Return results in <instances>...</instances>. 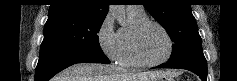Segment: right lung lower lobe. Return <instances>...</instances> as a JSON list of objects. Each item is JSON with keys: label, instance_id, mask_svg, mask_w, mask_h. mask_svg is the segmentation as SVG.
<instances>
[{"label": "right lung lower lobe", "instance_id": "98d812e1", "mask_svg": "<svg viewBox=\"0 0 237 81\" xmlns=\"http://www.w3.org/2000/svg\"><path fill=\"white\" fill-rule=\"evenodd\" d=\"M83 62L110 63L104 53L40 50L39 61L35 70V81H48L61 70Z\"/></svg>", "mask_w": 237, "mask_h": 81}]
</instances>
